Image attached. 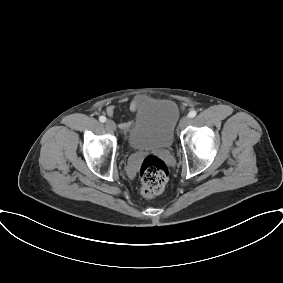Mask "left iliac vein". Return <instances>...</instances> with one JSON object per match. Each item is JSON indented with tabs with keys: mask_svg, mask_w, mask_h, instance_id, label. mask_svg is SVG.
I'll return each mask as SVG.
<instances>
[{
	"mask_svg": "<svg viewBox=\"0 0 283 283\" xmlns=\"http://www.w3.org/2000/svg\"><path fill=\"white\" fill-rule=\"evenodd\" d=\"M189 121V117H183L180 121L179 127L183 129L189 123Z\"/></svg>",
	"mask_w": 283,
	"mask_h": 283,
	"instance_id": "left-iliac-vein-1",
	"label": "left iliac vein"
}]
</instances>
